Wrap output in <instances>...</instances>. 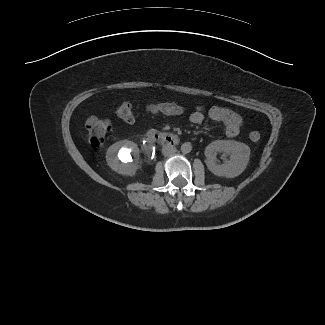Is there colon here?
<instances>
[{
  "mask_svg": "<svg viewBox=\"0 0 325 325\" xmlns=\"http://www.w3.org/2000/svg\"><path fill=\"white\" fill-rule=\"evenodd\" d=\"M142 109L151 115L167 117H181L189 112L185 105L177 102H151L142 106ZM116 115L126 122H132L135 117V107L129 102H124L116 108ZM85 126L88 142L93 147L101 146L106 135L111 131V123L96 116L88 118ZM249 138L252 142H258L261 135L258 131H252Z\"/></svg>",
  "mask_w": 325,
  "mask_h": 325,
  "instance_id": "colon-1",
  "label": "colon"
}]
</instances>
